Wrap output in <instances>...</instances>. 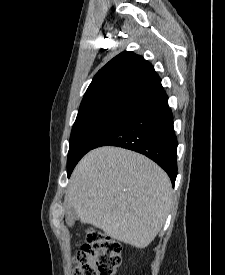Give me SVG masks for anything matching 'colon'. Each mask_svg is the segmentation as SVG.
<instances>
[{
    "mask_svg": "<svg viewBox=\"0 0 225 275\" xmlns=\"http://www.w3.org/2000/svg\"><path fill=\"white\" fill-rule=\"evenodd\" d=\"M121 244L98 229H88L86 243L75 255L74 275H114L121 262Z\"/></svg>",
    "mask_w": 225,
    "mask_h": 275,
    "instance_id": "1",
    "label": "colon"
}]
</instances>
